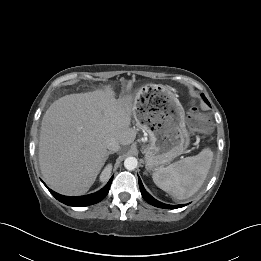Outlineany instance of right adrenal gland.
Listing matches in <instances>:
<instances>
[{
  "label": "right adrenal gland",
  "mask_w": 261,
  "mask_h": 261,
  "mask_svg": "<svg viewBox=\"0 0 261 261\" xmlns=\"http://www.w3.org/2000/svg\"><path fill=\"white\" fill-rule=\"evenodd\" d=\"M111 154H114V152H112V151L107 152L106 160L108 159L109 155H111Z\"/></svg>",
  "instance_id": "obj_1"
}]
</instances>
